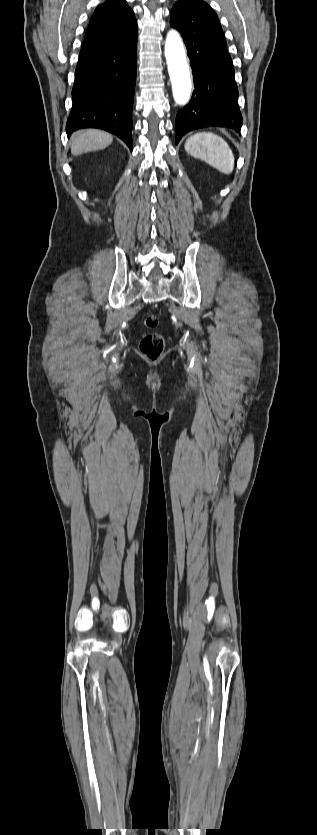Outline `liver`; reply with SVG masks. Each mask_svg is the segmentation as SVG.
<instances>
[{"mask_svg": "<svg viewBox=\"0 0 317 835\" xmlns=\"http://www.w3.org/2000/svg\"><path fill=\"white\" fill-rule=\"evenodd\" d=\"M113 141V137L101 130H80L73 134L71 153L75 156L90 151L105 149Z\"/></svg>", "mask_w": 317, "mask_h": 835, "instance_id": "liver-1", "label": "liver"}]
</instances>
